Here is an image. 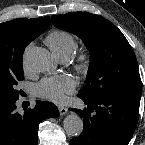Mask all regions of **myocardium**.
I'll return each instance as SVG.
<instances>
[{
    "label": "myocardium",
    "instance_id": "obj_1",
    "mask_svg": "<svg viewBox=\"0 0 145 145\" xmlns=\"http://www.w3.org/2000/svg\"><path fill=\"white\" fill-rule=\"evenodd\" d=\"M90 65V55L87 51H80L74 60V68L79 72H86Z\"/></svg>",
    "mask_w": 145,
    "mask_h": 145
}]
</instances>
